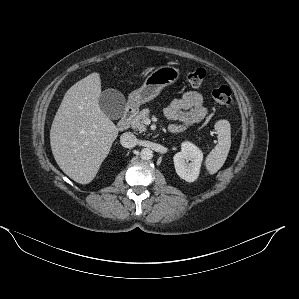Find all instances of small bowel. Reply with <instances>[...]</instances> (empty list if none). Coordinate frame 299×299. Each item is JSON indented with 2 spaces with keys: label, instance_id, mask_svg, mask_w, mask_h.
I'll return each instance as SVG.
<instances>
[{
  "label": "small bowel",
  "instance_id": "small-bowel-1",
  "mask_svg": "<svg viewBox=\"0 0 299 299\" xmlns=\"http://www.w3.org/2000/svg\"><path fill=\"white\" fill-rule=\"evenodd\" d=\"M165 115L174 121L169 130L179 133L187 127L199 123L208 114L203 95L197 91H188L182 97L174 99L164 110Z\"/></svg>",
  "mask_w": 299,
  "mask_h": 299
}]
</instances>
